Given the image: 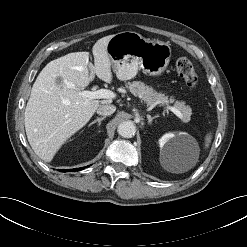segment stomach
<instances>
[{
  "mask_svg": "<svg viewBox=\"0 0 247 247\" xmlns=\"http://www.w3.org/2000/svg\"><path fill=\"white\" fill-rule=\"evenodd\" d=\"M111 66L120 80L136 76L139 69L150 75H160L171 58L169 44L144 38L141 34L124 31L113 35L107 45Z\"/></svg>",
  "mask_w": 247,
  "mask_h": 247,
  "instance_id": "obj_1",
  "label": "stomach"
}]
</instances>
